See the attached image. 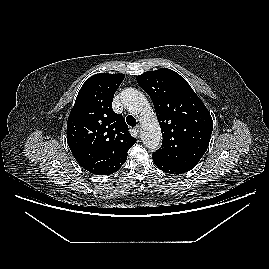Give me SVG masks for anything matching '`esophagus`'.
Here are the masks:
<instances>
[{
  "instance_id": "1",
  "label": "esophagus",
  "mask_w": 269,
  "mask_h": 269,
  "mask_svg": "<svg viewBox=\"0 0 269 269\" xmlns=\"http://www.w3.org/2000/svg\"><path fill=\"white\" fill-rule=\"evenodd\" d=\"M135 130H136L138 133H140V131H141V125L138 124V125L135 127Z\"/></svg>"
}]
</instances>
